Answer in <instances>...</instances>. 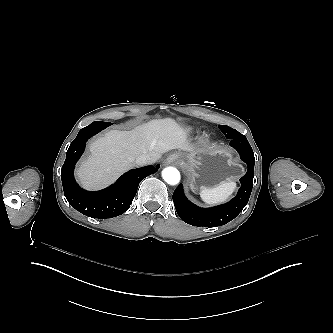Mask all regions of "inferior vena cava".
Instances as JSON below:
<instances>
[{
  "mask_svg": "<svg viewBox=\"0 0 333 333\" xmlns=\"http://www.w3.org/2000/svg\"><path fill=\"white\" fill-rule=\"evenodd\" d=\"M136 164L138 166H144L147 164H151V158L148 155H140L136 158Z\"/></svg>",
  "mask_w": 333,
  "mask_h": 333,
  "instance_id": "inferior-vena-cava-1",
  "label": "inferior vena cava"
}]
</instances>
